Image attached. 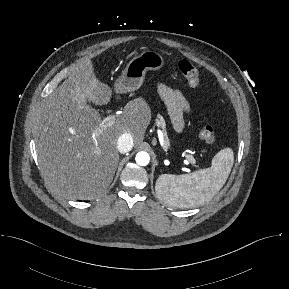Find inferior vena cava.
Instances as JSON below:
<instances>
[{
  "instance_id": "1",
  "label": "inferior vena cava",
  "mask_w": 289,
  "mask_h": 289,
  "mask_svg": "<svg viewBox=\"0 0 289 289\" xmlns=\"http://www.w3.org/2000/svg\"><path fill=\"white\" fill-rule=\"evenodd\" d=\"M133 148V137L129 133H123L117 140V149L124 154Z\"/></svg>"
}]
</instances>
